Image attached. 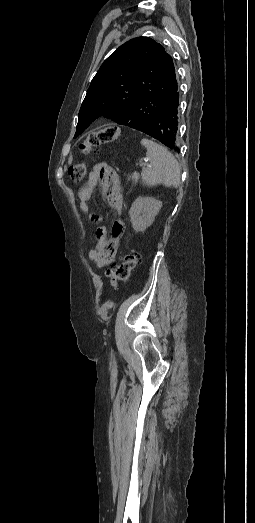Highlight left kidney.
I'll use <instances>...</instances> for the list:
<instances>
[{"label": "left kidney", "mask_w": 255, "mask_h": 523, "mask_svg": "<svg viewBox=\"0 0 255 523\" xmlns=\"http://www.w3.org/2000/svg\"><path fill=\"white\" fill-rule=\"evenodd\" d=\"M162 202L155 200V198H143L139 196L133 202L129 214L132 226L136 232H145L154 222L159 210H161Z\"/></svg>", "instance_id": "1"}]
</instances>
